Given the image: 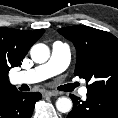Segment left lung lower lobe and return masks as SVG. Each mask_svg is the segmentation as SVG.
Listing matches in <instances>:
<instances>
[{
	"label": "left lung lower lobe",
	"mask_w": 118,
	"mask_h": 118,
	"mask_svg": "<svg viewBox=\"0 0 118 118\" xmlns=\"http://www.w3.org/2000/svg\"><path fill=\"white\" fill-rule=\"evenodd\" d=\"M73 108L67 118H118V98L87 93V99L70 95Z\"/></svg>",
	"instance_id": "1"
}]
</instances>
